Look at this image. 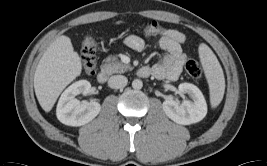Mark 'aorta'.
<instances>
[{
	"label": "aorta",
	"instance_id": "1",
	"mask_svg": "<svg viewBox=\"0 0 267 166\" xmlns=\"http://www.w3.org/2000/svg\"><path fill=\"white\" fill-rule=\"evenodd\" d=\"M132 87H133L134 89L139 90V89H141V88L143 87V83H142V81H141L140 79H135V80H133V82H132Z\"/></svg>",
	"mask_w": 267,
	"mask_h": 166
}]
</instances>
